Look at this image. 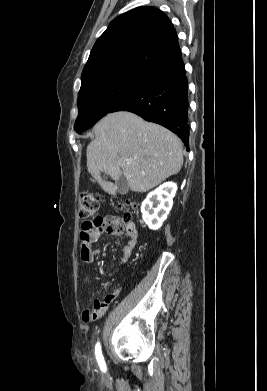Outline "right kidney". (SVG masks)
<instances>
[{"label": "right kidney", "mask_w": 267, "mask_h": 391, "mask_svg": "<svg viewBox=\"0 0 267 391\" xmlns=\"http://www.w3.org/2000/svg\"><path fill=\"white\" fill-rule=\"evenodd\" d=\"M176 191L175 183L166 182L150 192L142 202V217L150 229L158 230L162 226L172 208Z\"/></svg>", "instance_id": "ca27d5eb"}]
</instances>
